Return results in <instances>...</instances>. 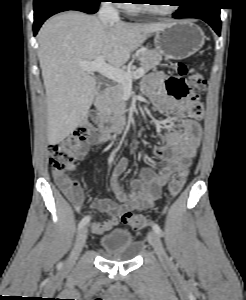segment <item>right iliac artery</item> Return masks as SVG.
<instances>
[{
	"instance_id": "82829eb1",
	"label": "right iliac artery",
	"mask_w": 246,
	"mask_h": 300,
	"mask_svg": "<svg viewBox=\"0 0 246 300\" xmlns=\"http://www.w3.org/2000/svg\"><path fill=\"white\" fill-rule=\"evenodd\" d=\"M90 221V216H85L79 223V229L84 227Z\"/></svg>"
}]
</instances>
